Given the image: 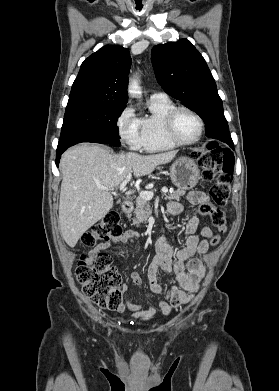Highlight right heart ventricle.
Segmentation results:
<instances>
[{
  "mask_svg": "<svg viewBox=\"0 0 279 391\" xmlns=\"http://www.w3.org/2000/svg\"><path fill=\"white\" fill-rule=\"evenodd\" d=\"M174 103L167 96L150 98L148 113L139 119L140 148L147 152H161L177 147L166 135L164 118L167 112L174 107Z\"/></svg>",
  "mask_w": 279,
  "mask_h": 391,
  "instance_id": "right-heart-ventricle-1",
  "label": "right heart ventricle"
}]
</instances>
